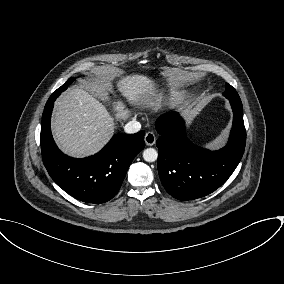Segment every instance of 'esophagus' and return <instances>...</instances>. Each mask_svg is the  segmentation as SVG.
<instances>
[{
	"mask_svg": "<svg viewBox=\"0 0 284 284\" xmlns=\"http://www.w3.org/2000/svg\"><path fill=\"white\" fill-rule=\"evenodd\" d=\"M145 143L148 146H152L156 142V136L153 132H147L145 137H144Z\"/></svg>",
	"mask_w": 284,
	"mask_h": 284,
	"instance_id": "34e87169",
	"label": "esophagus"
}]
</instances>
